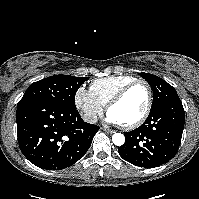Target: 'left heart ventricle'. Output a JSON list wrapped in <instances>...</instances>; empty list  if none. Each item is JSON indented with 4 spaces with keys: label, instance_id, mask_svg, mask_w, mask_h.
<instances>
[{
    "label": "left heart ventricle",
    "instance_id": "left-heart-ventricle-1",
    "mask_svg": "<svg viewBox=\"0 0 199 199\" xmlns=\"http://www.w3.org/2000/svg\"><path fill=\"white\" fill-rule=\"evenodd\" d=\"M147 89L143 85L132 88L121 102L110 109L120 124H127L135 121L143 113L147 103Z\"/></svg>",
    "mask_w": 199,
    "mask_h": 199
}]
</instances>
